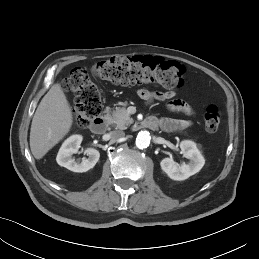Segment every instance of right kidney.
I'll use <instances>...</instances> for the list:
<instances>
[{
    "instance_id": "ca27d5eb",
    "label": "right kidney",
    "mask_w": 259,
    "mask_h": 259,
    "mask_svg": "<svg viewBox=\"0 0 259 259\" xmlns=\"http://www.w3.org/2000/svg\"><path fill=\"white\" fill-rule=\"evenodd\" d=\"M81 142V135H72L66 139L56 157L57 163L73 172L82 173L93 168L100 157L99 151L94 148H87L85 150L88 158L82 159V162H77L72 158V155L78 152Z\"/></svg>"
}]
</instances>
